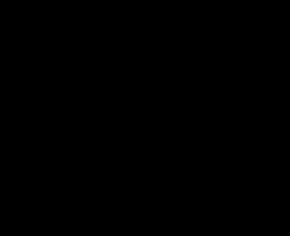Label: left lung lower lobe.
Instances as JSON below:
<instances>
[{
	"label": "left lung lower lobe",
	"instance_id": "obj_1",
	"mask_svg": "<svg viewBox=\"0 0 290 236\" xmlns=\"http://www.w3.org/2000/svg\"><path fill=\"white\" fill-rule=\"evenodd\" d=\"M241 120L240 96L233 93L160 129L155 147L167 187L193 196L213 184L228 165Z\"/></svg>",
	"mask_w": 290,
	"mask_h": 236
}]
</instances>
